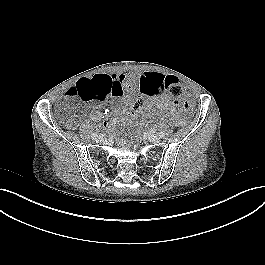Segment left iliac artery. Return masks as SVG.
<instances>
[{"instance_id":"1","label":"left iliac artery","mask_w":265,"mask_h":265,"mask_svg":"<svg viewBox=\"0 0 265 265\" xmlns=\"http://www.w3.org/2000/svg\"><path fill=\"white\" fill-rule=\"evenodd\" d=\"M159 136H160L161 138H163L165 135H164L163 132H160V133H159Z\"/></svg>"}]
</instances>
